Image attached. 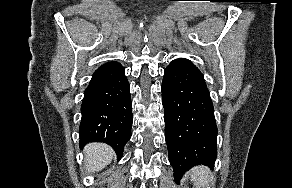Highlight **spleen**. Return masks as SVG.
<instances>
[{
	"label": "spleen",
	"instance_id": "3e777b00",
	"mask_svg": "<svg viewBox=\"0 0 292 188\" xmlns=\"http://www.w3.org/2000/svg\"><path fill=\"white\" fill-rule=\"evenodd\" d=\"M191 181L194 183L196 188H201L211 181L210 171L207 167L197 166L189 171Z\"/></svg>",
	"mask_w": 292,
	"mask_h": 188
}]
</instances>
